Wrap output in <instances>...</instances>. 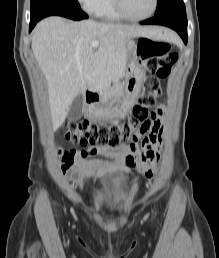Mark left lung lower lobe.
Here are the masks:
<instances>
[{"label":"left lung lower lobe","mask_w":219,"mask_h":258,"mask_svg":"<svg viewBox=\"0 0 219 258\" xmlns=\"http://www.w3.org/2000/svg\"><path fill=\"white\" fill-rule=\"evenodd\" d=\"M141 24L148 25H163L170 27L177 31V33L181 36L184 43L187 44V17H186V11L180 12V11H172L167 12L159 16H154L151 19L142 21Z\"/></svg>","instance_id":"1"}]
</instances>
